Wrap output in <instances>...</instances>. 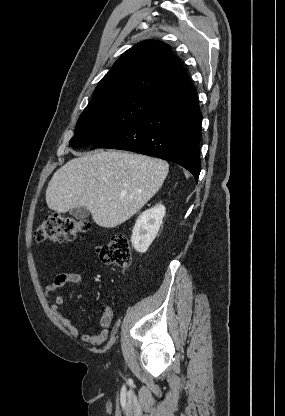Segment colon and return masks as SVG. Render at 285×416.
Returning <instances> with one entry per match:
<instances>
[{
    "label": "colon",
    "mask_w": 285,
    "mask_h": 416,
    "mask_svg": "<svg viewBox=\"0 0 285 416\" xmlns=\"http://www.w3.org/2000/svg\"><path fill=\"white\" fill-rule=\"evenodd\" d=\"M90 229L91 224L87 220L52 214L38 226L35 238L39 242L51 243L73 241ZM99 253L101 260L106 264L127 267L131 263L129 242L123 234L112 235L110 240L101 247Z\"/></svg>",
    "instance_id": "1"
}]
</instances>
